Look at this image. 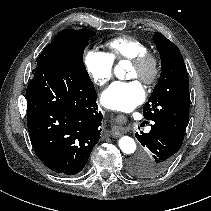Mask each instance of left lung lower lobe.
Returning <instances> with one entry per match:
<instances>
[{"label": "left lung lower lobe", "instance_id": "left-lung-lower-lobe-1", "mask_svg": "<svg viewBox=\"0 0 211 211\" xmlns=\"http://www.w3.org/2000/svg\"><path fill=\"white\" fill-rule=\"evenodd\" d=\"M185 131L166 120H153L149 133H135L150 157L139 155L130 161L131 171L138 177L152 178L162 174L173 162L182 146Z\"/></svg>", "mask_w": 211, "mask_h": 211}]
</instances>
